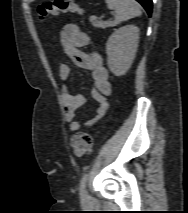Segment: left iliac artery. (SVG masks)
Masks as SVG:
<instances>
[{"label":"left iliac artery","instance_id":"44dca946","mask_svg":"<svg viewBox=\"0 0 188 213\" xmlns=\"http://www.w3.org/2000/svg\"><path fill=\"white\" fill-rule=\"evenodd\" d=\"M88 174H84L81 181H80V190L82 192H84L85 190V187H86V183H87V180H88Z\"/></svg>","mask_w":188,"mask_h":213}]
</instances>
